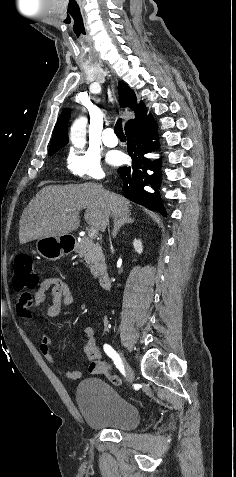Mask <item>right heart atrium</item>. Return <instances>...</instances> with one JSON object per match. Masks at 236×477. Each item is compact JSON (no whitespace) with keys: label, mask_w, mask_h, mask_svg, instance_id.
I'll use <instances>...</instances> for the list:
<instances>
[{"label":"right heart atrium","mask_w":236,"mask_h":477,"mask_svg":"<svg viewBox=\"0 0 236 477\" xmlns=\"http://www.w3.org/2000/svg\"><path fill=\"white\" fill-rule=\"evenodd\" d=\"M66 168L75 177L97 181L104 177V171L97 154L84 149L73 148L66 158Z\"/></svg>","instance_id":"d8ad5b80"}]
</instances>
